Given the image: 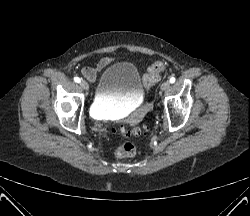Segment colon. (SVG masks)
Here are the masks:
<instances>
[{"instance_id": "1", "label": "colon", "mask_w": 250, "mask_h": 216, "mask_svg": "<svg viewBox=\"0 0 250 216\" xmlns=\"http://www.w3.org/2000/svg\"><path fill=\"white\" fill-rule=\"evenodd\" d=\"M165 70V63L163 61H155L147 70V73L143 76L142 83L146 90H149L159 80L161 73ZM116 132L120 133L124 137L139 136L145 133L144 128L128 129L120 127L116 129ZM137 153V146L134 142L126 141L120 147L115 149V156L117 158L133 157Z\"/></svg>"}]
</instances>
